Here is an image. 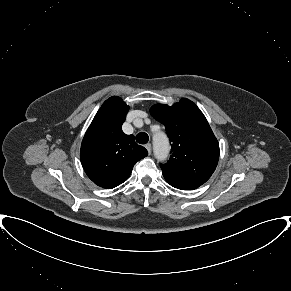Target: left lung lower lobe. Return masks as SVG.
<instances>
[{
    "instance_id": "obj_1",
    "label": "left lung lower lobe",
    "mask_w": 291,
    "mask_h": 291,
    "mask_svg": "<svg viewBox=\"0 0 291 291\" xmlns=\"http://www.w3.org/2000/svg\"><path fill=\"white\" fill-rule=\"evenodd\" d=\"M164 178L171 186L181 189V190H193L199 187V185L181 181L178 179H173L167 176H164Z\"/></svg>"
}]
</instances>
